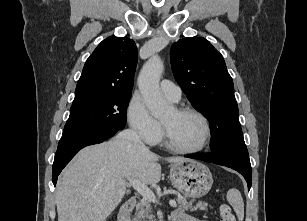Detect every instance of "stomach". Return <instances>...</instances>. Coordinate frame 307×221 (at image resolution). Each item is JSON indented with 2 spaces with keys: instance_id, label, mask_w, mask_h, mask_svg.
<instances>
[{
  "instance_id": "1",
  "label": "stomach",
  "mask_w": 307,
  "mask_h": 221,
  "mask_svg": "<svg viewBox=\"0 0 307 221\" xmlns=\"http://www.w3.org/2000/svg\"><path fill=\"white\" fill-rule=\"evenodd\" d=\"M170 178L174 186L190 198H200L206 195L213 184L209 168L194 160H184L172 164Z\"/></svg>"
}]
</instances>
